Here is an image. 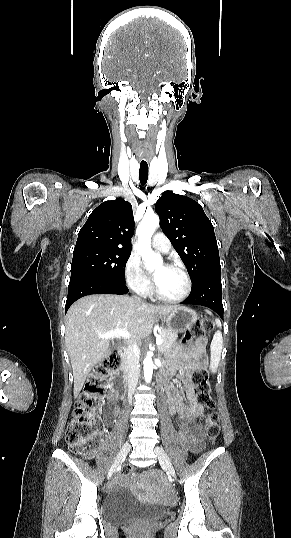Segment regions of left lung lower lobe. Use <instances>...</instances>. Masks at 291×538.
<instances>
[{
    "label": "left lung lower lobe",
    "instance_id": "0a47b994",
    "mask_svg": "<svg viewBox=\"0 0 291 538\" xmlns=\"http://www.w3.org/2000/svg\"><path fill=\"white\" fill-rule=\"evenodd\" d=\"M181 304L208 307L223 319L221 274L210 275L199 284L192 286L189 297Z\"/></svg>",
    "mask_w": 291,
    "mask_h": 538
}]
</instances>
